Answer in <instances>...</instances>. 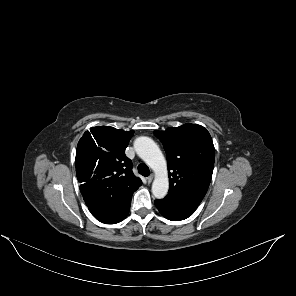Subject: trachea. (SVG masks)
<instances>
[{
    "instance_id": "1",
    "label": "trachea",
    "mask_w": 296,
    "mask_h": 296,
    "mask_svg": "<svg viewBox=\"0 0 296 296\" xmlns=\"http://www.w3.org/2000/svg\"><path fill=\"white\" fill-rule=\"evenodd\" d=\"M138 172L145 177L150 175V170H149L148 166L144 163H140L138 165Z\"/></svg>"
}]
</instances>
